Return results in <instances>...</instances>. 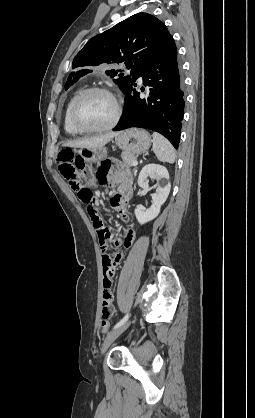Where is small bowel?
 Segmentation results:
<instances>
[{"mask_svg":"<svg viewBox=\"0 0 255 418\" xmlns=\"http://www.w3.org/2000/svg\"><path fill=\"white\" fill-rule=\"evenodd\" d=\"M96 179L102 184L117 187V191L111 197L110 203L121 217L126 218L128 216L127 202L132 195L130 174L121 171L117 163L106 161L99 167ZM97 235L98 241H100L99 247L101 248L100 253L103 266V295L99 312L102 320H113V277L121 257L132 253L129 247L134 242L135 235L130 227L122 229L120 233H115L113 228L98 227ZM110 242L122 247H110Z\"/></svg>","mask_w":255,"mask_h":418,"instance_id":"small-bowel-1","label":"small bowel"}]
</instances>
